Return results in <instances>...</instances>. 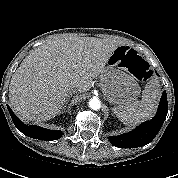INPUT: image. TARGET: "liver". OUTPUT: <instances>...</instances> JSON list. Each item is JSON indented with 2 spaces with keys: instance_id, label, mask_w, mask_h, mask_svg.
<instances>
[{
  "instance_id": "1",
  "label": "liver",
  "mask_w": 178,
  "mask_h": 178,
  "mask_svg": "<svg viewBox=\"0 0 178 178\" xmlns=\"http://www.w3.org/2000/svg\"><path fill=\"white\" fill-rule=\"evenodd\" d=\"M122 43L111 39L63 37L49 39L24 58L12 76L9 100L25 121L58 115L77 89L88 91Z\"/></svg>"
}]
</instances>
